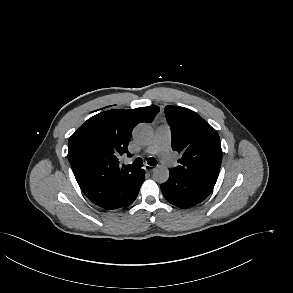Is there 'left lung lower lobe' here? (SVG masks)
Here are the masks:
<instances>
[{"instance_id": "obj_1", "label": "left lung lower lobe", "mask_w": 293, "mask_h": 293, "mask_svg": "<svg viewBox=\"0 0 293 293\" xmlns=\"http://www.w3.org/2000/svg\"><path fill=\"white\" fill-rule=\"evenodd\" d=\"M215 183L185 177L170 170L169 179L160 185L164 197L173 205L188 208L203 201L213 190Z\"/></svg>"}]
</instances>
